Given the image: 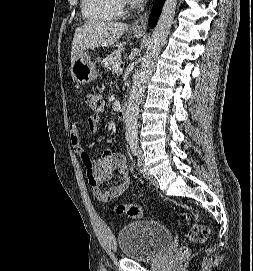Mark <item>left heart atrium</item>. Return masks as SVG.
Masks as SVG:
<instances>
[{"instance_id":"1","label":"left heart atrium","mask_w":253,"mask_h":271,"mask_svg":"<svg viewBox=\"0 0 253 271\" xmlns=\"http://www.w3.org/2000/svg\"><path fill=\"white\" fill-rule=\"evenodd\" d=\"M132 1H134V2H136V3H139V2H141V1H143V0H132Z\"/></svg>"}]
</instances>
